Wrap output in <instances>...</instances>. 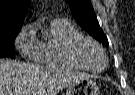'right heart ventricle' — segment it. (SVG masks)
<instances>
[{
	"label": "right heart ventricle",
	"instance_id": "1",
	"mask_svg": "<svg viewBox=\"0 0 135 95\" xmlns=\"http://www.w3.org/2000/svg\"><path fill=\"white\" fill-rule=\"evenodd\" d=\"M82 33L67 19H54L43 30V37L39 40V63L54 69H81L67 56L69 41Z\"/></svg>",
	"mask_w": 135,
	"mask_h": 95
}]
</instances>
